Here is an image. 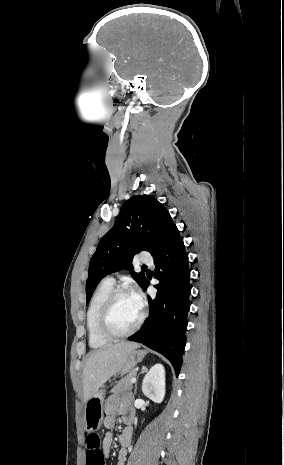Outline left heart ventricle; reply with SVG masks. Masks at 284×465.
Listing matches in <instances>:
<instances>
[{
    "label": "left heart ventricle",
    "instance_id": "obj_1",
    "mask_svg": "<svg viewBox=\"0 0 284 465\" xmlns=\"http://www.w3.org/2000/svg\"><path fill=\"white\" fill-rule=\"evenodd\" d=\"M141 316L140 304L133 296L119 298L110 318V330L115 335H124L132 330Z\"/></svg>",
    "mask_w": 284,
    "mask_h": 465
}]
</instances>
